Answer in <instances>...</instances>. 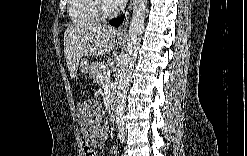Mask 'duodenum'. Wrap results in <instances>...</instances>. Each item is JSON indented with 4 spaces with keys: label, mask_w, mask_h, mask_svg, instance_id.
I'll use <instances>...</instances> for the list:
<instances>
[{
    "label": "duodenum",
    "mask_w": 247,
    "mask_h": 156,
    "mask_svg": "<svg viewBox=\"0 0 247 156\" xmlns=\"http://www.w3.org/2000/svg\"><path fill=\"white\" fill-rule=\"evenodd\" d=\"M109 117L111 120H115L116 117V103H115V97L111 95L109 97Z\"/></svg>",
    "instance_id": "obj_1"
}]
</instances>
